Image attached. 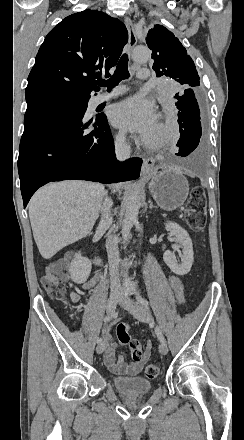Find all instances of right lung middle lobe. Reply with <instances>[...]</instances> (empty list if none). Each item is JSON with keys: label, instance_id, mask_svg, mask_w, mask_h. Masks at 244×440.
<instances>
[{"label": "right lung middle lobe", "instance_id": "dd1d6c3e", "mask_svg": "<svg viewBox=\"0 0 244 440\" xmlns=\"http://www.w3.org/2000/svg\"><path fill=\"white\" fill-rule=\"evenodd\" d=\"M27 106L34 104L56 105L68 108L74 111H82L87 109L89 98H73V97H36L26 99Z\"/></svg>", "mask_w": 244, "mask_h": 440}]
</instances>
